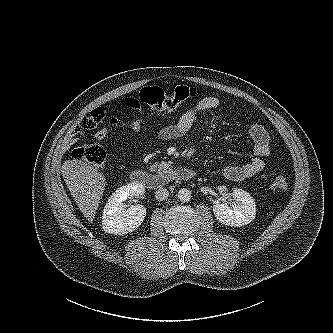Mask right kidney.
I'll return each instance as SVG.
<instances>
[{
  "label": "right kidney",
  "instance_id": "ca27d5eb",
  "mask_svg": "<svg viewBox=\"0 0 333 333\" xmlns=\"http://www.w3.org/2000/svg\"><path fill=\"white\" fill-rule=\"evenodd\" d=\"M145 188L139 183H129L118 188L108 199L103 214L102 227L105 232L123 235L135 231L146 217L143 205H132L125 209L127 198L144 194Z\"/></svg>",
  "mask_w": 333,
  "mask_h": 333
}]
</instances>
